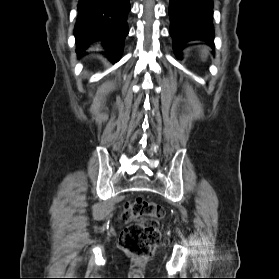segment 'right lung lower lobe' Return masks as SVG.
<instances>
[{
  "mask_svg": "<svg viewBox=\"0 0 279 279\" xmlns=\"http://www.w3.org/2000/svg\"><path fill=\"white\" fill-rule=\"evenodd\" d=\"M129 0H79L75 25L77 52L94 41H104L108 58L119 61L128 34Z\"/></svg>",
  "mask_w": 279,
  "mask_h": 279,
  "instance_id": "right-lung-lower-lobe-1",
  "label": "right lung lower lobe"
}]
</instances>
